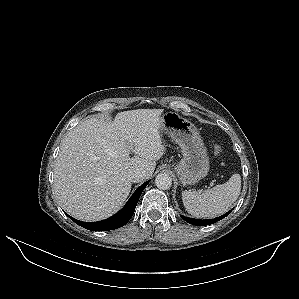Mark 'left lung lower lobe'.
Masks as SVG:
<instances>
[{
    "mask_svg": "<svg viewBox=\"0 0 299 299\" xmlns=\"http://www.w3.org/2000/svg\"><path fill=\"white\" fill-rule=\"evenodd\" d=\"M231 212L228 211L226 214L220 216V217H217L215 219H209V220H201V219H192V218H187L185 216H181L185 221H187L188 223L190 224H193V225H198V226H204V225H210V224H213L219 220H221L222 218L226 217L229 213Z\"/></svg>",
    "mask_w": 299,
    "mask_h": 299,
    "instance_id": "left-lung-lower-lobe-1",
    "label": "left lung lower lobe"
}]
</instances>
